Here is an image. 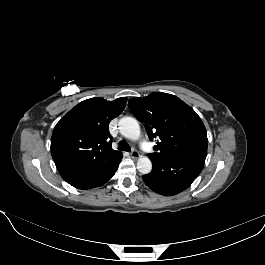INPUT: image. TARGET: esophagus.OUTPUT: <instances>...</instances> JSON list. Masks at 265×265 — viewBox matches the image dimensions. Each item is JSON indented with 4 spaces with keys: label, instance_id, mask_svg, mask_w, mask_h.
Instances as JSON below:
<instances>
[{
    "label": "esophagus",
    "instance_id": "34e87169",
    "mask_svg": "<svg viewBox=\"0 0 265 265\" xmlns=\"http://www.w3.org/2000/svg\"><path fill=\"white\" fill-rule=\"evenodd\" d=\"M130 154L132 158H138L140 156L139 152L136 150H132Z\"/></svg>",
    "mask_w": 265,
    "mask_h": 265
}]
</instances>
